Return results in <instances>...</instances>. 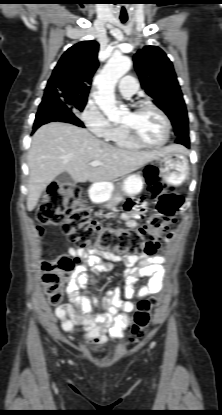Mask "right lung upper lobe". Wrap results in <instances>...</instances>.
<instances>
[{
	"label": "right lung upper lobe",
	"mask_w": 222,
	"mask_h": 415,
	"mask_svg": "<svg viewBox=\"0 0 222 415\" xmlns=\"http://www.w3.org/2000/svg\"><path fill=\"white\" fill-rule=\"evenodd\" d=\"M96 41H83L70 47L53 70L43 98H59V93L87 97L93 74L99 66Z\"/></svg>",
	"instance_id": "cb5924a9"
}]
</instances>
